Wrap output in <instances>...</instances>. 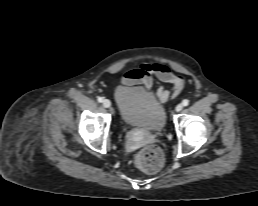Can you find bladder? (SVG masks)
<instances>
[{
  "instance_id": "obj_1",
  "label": "bladder",
  "mask_w": 258,
  "mask_h": 206,
  "mask_svg": "<svg viewBox=\"0 0 258 206\" xmlns=\"http://www.w3.org/2000/svg\"><path fill=\"white\" fill-rule=\"evenodd\" d=\"M115 100L125 124L151 132L165 126V107L152 92L138 86H118Z\"/></svg>"
}]
</instances>
